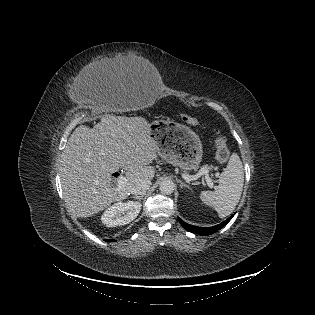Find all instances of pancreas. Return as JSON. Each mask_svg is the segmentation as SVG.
<instances>
[{
	"label": "pancreas",
	"instance_id": "1",
	"mask_svg": "<svg viewBox=\"0 0 315 315\" xmlns=\"http://www.w3.org/2000/svg\"><path fill=\"white\" fill-rule=\"evenodd\" d=\"M203 169H205V170H212V169H214V167L213 166L204 165Z\"/></svg>",
	"mask_w": 315,
	"mask_h": 315
}]
</instances>
